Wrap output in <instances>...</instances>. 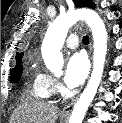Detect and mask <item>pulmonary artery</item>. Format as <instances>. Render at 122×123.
Wrapping results in <instances>:
<instances>
[{
	"label": "pulmonary artery",
	"mask_w": 122,
	"mask_h": 123,
	"mask_svg": "<svg viewBox=\"0 0 122 123\" xmlns=\"http://www.w3.org/2000/svg\"><path fill=\"white\" fill-rule=\"evenodd\" d=\"M78 36L76 34H71L67 39H66V46L70 49H74L78 46Z\"/></svg>",
	"instance_id": "pulmonary-artery-1"
}]
</instances>
